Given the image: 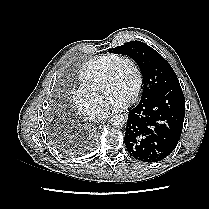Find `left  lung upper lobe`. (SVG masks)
Wrapping results in <instances>:
<instances>
[{
  "label": "left lung upper lobe",
  "mask_w": 209,
  "mask_h": 209,
  "mask_svg": "<svg viewBox=\"0 0 209 209\" xmlns=\"http://www.w3.org/2000/svg\"><path fill=\"white\" fill-rule=\"evenodd\" d=\"M109 52L131 57L143 74V93L141 99L174 85H180L171 65L153 48L141 41L127 42L109 49Z\"/></svg>",
  "instance_id": "5c2ea615"
}]
</instances>
